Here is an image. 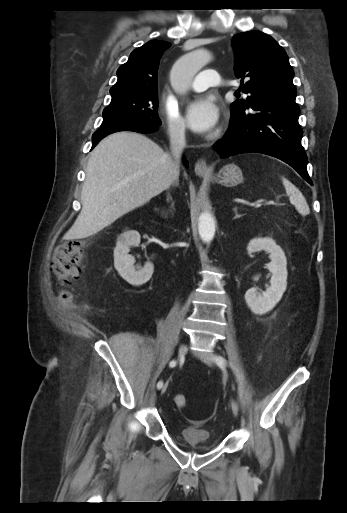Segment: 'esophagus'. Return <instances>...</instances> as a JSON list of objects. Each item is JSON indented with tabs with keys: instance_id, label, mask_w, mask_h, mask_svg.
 I'll return each instance as SVG.
<instances>
[{
	"instance_id": "1",
	"label": "esophagus",
	"mask_w": 347,
	"mask_h": 513,
	"mask_svg": "<svg viewBox=\"0 0 347 513\" xmlns=\"http://www.w3.org/2000/svg\"><path fill=\"white\" fill-rule=\"evenodd\" d=\"M194 171L196 175L204 176L210 173V169L207 167L206 160L201 158L195 163Z\"/></svg>"
}]
</instances>
